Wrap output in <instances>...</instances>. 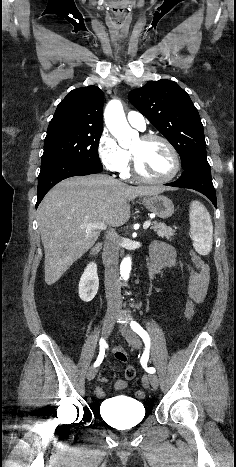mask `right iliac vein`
I'll return each instance as SVG.
<instances>
[{
	"label": "right iliac vein",
	"mask_w": 236,
	"mask_h": 467,
	"mask_svg": "<svg viewBox=\"0 0 236 467\" xmlns=\"http://www.w3.org/2000/svg\"><path fill=\"white\" fill-rule=\"evenodd\" d=\"M114 313H109L105 317L102 325V333L104 337H108V335L112 332L113 327H114ZM97 374V368L96 367H91L88 372H87V380L91 381L95 378Z\"/></svg>",
	"instance_id": "right-iliac-vein-1"
}]
</instances>
